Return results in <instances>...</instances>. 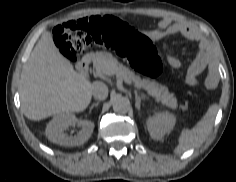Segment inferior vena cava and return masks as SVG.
Wrapping results in <instances>:
<instances>
[{
  "mask_svg": "<svg viewBox=\"0 0 236 182\" xmlns=\"http://www.w3.org/2000/svg\"><path fill=\"white\" fill-rule=\"evenodd\" d=\"M92 95L97 100H104L108 96V87L103 82L96 81L92 84Z\"/></svg>",
  "mask_w": 236,
  "mask_h": 182,
  "instance_id": "obj_1",
  "label": "inferior vena cava"
}]
</instances>
